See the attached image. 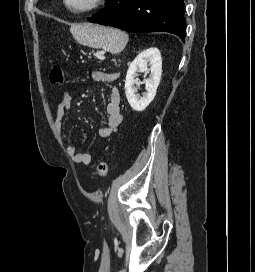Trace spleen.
I'll list each match as a JSON object with an SVG mask.
<instances>
[{
    "instance_id": "1",
    "label": "spleen",
    "mask_w": 255,
    "mask_h": 272,
    "mask_svg": "<svg viewBox=\"0 0 255 272\" xmlns=\"http://www.w3.org/2000/svg\"><path fill=\"white\" fill-rule=\"evenodd\" d=\"M70 32L80 44L105 48L112 54L123 51L129 39L124 31L89 23L72 25Z\"/></svg>"
}]
</instances>
